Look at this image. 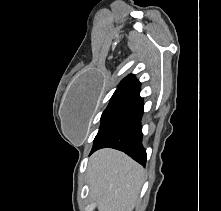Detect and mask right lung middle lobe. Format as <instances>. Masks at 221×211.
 Wrapping results in <instances>:
<instances>
[{
  "instance_id": "obj_1",
  "label": "right lung middle lobe",
  "mask_w": 221,
  "mask_h": 211,
  "mask_svg": "<svg viewBox=\"0 0 221 211\" xmlns=\"http://www.w3.org/2000/svg\"><path fill=\"white\" fill-rule=\"evenodd\" d=\"M138 94L135 91H116L101 116V125L95 137L98 138L119 116L127 104Z\"/></svg>"
}]
</instances>
